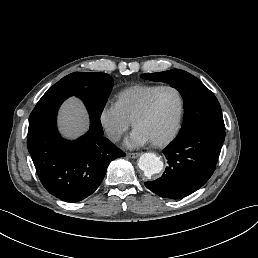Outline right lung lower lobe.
I'll list each match as a JSON object with an SVG mask.
<instances>
[{
	"label": "right lung lower lobe",
	"mask_w": 258,
	"mask_h": 258,
	"mask_svg": "<svg viewBox=\"0 0 258 258\" xmlns=\"http://www.w3.org/2000/svg\"><path fill=\"white\" fill-rule=\"evenodd\" d=\"M94 85L59 81L39 100L29 117L27 147L43 186L53 196L78 202L101 184L109 163L125 156L103 136L100 116L90 108ZM70 96L79 97L90 115L89 131L75 141L61 138L57 111Z\"/></svg>",
	"instance_id": "98d812e1"
}]
</instances>
